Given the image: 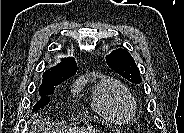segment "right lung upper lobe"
I'll return each mask as SVG.
<instances>
[{
    "label": "right lung upper lobe",
    "mask_w": 184,
    "mask_h": 133,
    "mask_svg": "<svg viewBox=\"0 0 184 133\" xmlns=\"http://www.w3.org/2000/svg\"><path fill=\"white\" fill-rule=\"evenodd\" d=\"M77 72V63L73 57L62 59V62L57 66L46 70L43 73V80L40 89L49 86L55 82H64Z\"/></svg>",
    "instance_id": "cb5924a9"
}]
</instances>
